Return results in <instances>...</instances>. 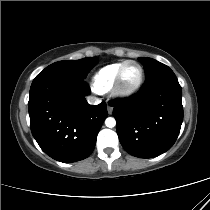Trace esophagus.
<instances>
[{"label":"esophagus","mask_w":210,"mask_h":210,"mask_svg":"<svg viewBox=\"0 0 210 210\" xmlns=\"http://www.w3.org/2000/svg\"><path fill=\"white\" fill-rule=\"evenodd\" d=\"M107 111H108V114H112V112H113V107L111 106V105H107Z\"/></svg>","instance_id":"obj_1"}]
</instances>
